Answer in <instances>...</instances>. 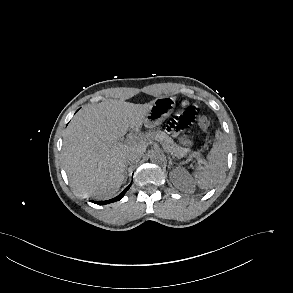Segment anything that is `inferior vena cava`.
<instances>
[{"mask_svg":"<svg viewBox=\"0 0 293 293\" xmlns=\"http://www.w3.org/2000/svg\"><path fill=\"white\" fill-rule=\"evenodd\" d=\"M142 153L136 150H131L127 152L125 156V161L127 164H134L140 160Z\"/></svg>","mask_w":293,"mask_h":293,"instance_id":"1","label":"inferior vena cava"}]
</instances>
